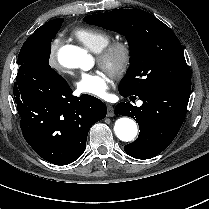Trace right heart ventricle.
I'll list each match as a JSON object with an SVG mask.
<instances>
[{
    "label": "right heart ventricle",
    "mask_w": 209,
    "mask_h": 209,
    "mask_svg": "<svg viewBox=\"0 0 209 209\" xmlns=\"http://www.w3.org/2000/svg\"><path fill=\"white\" fill-rule=\"evenodd\" d=\"M74 37L94 52H99L111 39V35L108 32L88 26L77 29L74 32Z\"/></svg>",
    "instance_id": "e07e8e85"
}]
</instances>
